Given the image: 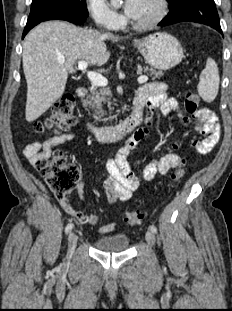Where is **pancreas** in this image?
Listing matches in <instances>:
<instances>
[{"instance_id": "1", "label": "pancreas", "mask_w": 232, "mask_h": 311, "mask_svg": "<svg viewBox=\"0 0 232 311\" xmlns=\"http://www.w3.org/2000/svg\"><path fill=\"white\" fill-rule=\"evenodd\" d=\"M140 71L149 72L150 76H153V80L160 79L163 76V73L161 71H156L153 68L148 67H139ZM112 97V93L109 88H99V86H96L92 84L90 88V94L82 101L84 106H88L89 108H92L95 110L93 114V118L96 121H107L108 118L101 119L104 117L105 112L102 109V103H110V99ZM113 117H110L112 119Z\"/></svg>"}]
</instances>
